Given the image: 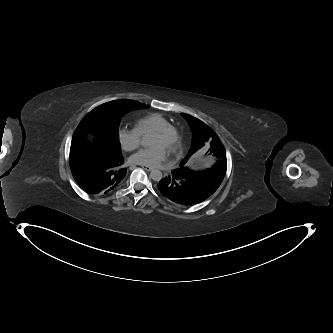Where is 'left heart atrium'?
I'll return each mask as SVG.
<instances>
[{
    "label": "left heart atrium",
    "mask_w": 333,
    "mask_h": 333,
    "mask_svg": "<svg viewBox=\"0 0 333 333\" xmlns=\"http://www.w3.org/2000/svg\"><path fill=\"white\" fill-rule=\"evenodd\" d=\"M166 151L159 147H147L130 157V162L139 165L156 166L164 159Z\"/></svg>",
    "instance_id": "left-heart-atrium-1"
}]
</instances>
